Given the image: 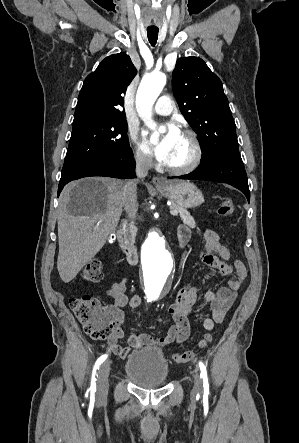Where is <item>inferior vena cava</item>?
<instances>
[{
    "mask_svg": "<svg viewBox=\"0 0 299 443\" xmlns=\"http://www.w3.org/2000/svg\"><path fill=\"white\" fill-rule=\"evenodd\" d=\"M152 166V158L146 154L138 153L136 155V175L139 178L147 176L148 170ZM137 179L127 181L122 189L125 200L124 209L130 219H134L138 211L137 204Z\"/></svg>",
    "mask_w": 299,
    "mask_h": 443,
    "instance_id": "1",
    "label": "inferior vena cava"
}]
</instances>
